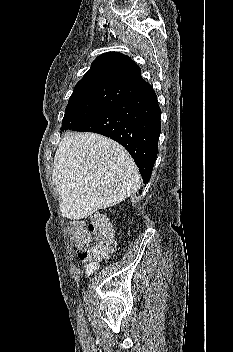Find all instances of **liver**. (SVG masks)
Masks as SVG:
<instances>
[{
  "mask_svg": "<svg viewBox=\"0 0 233 352\" xmlns=\"http://www.w3.org/2000/svg\"><path fill=\"white\" fill-rule=\"evenodd\" d=\"M52 179L69 219H83L124 201L140 188L132 157L117 142L95 133H67L54 158Z\"/></svg>",
  "mask_w": 233,
  "mask_h": 352,
  "instance_id": "obj_1",
  "label": "liver"
}]
</instances>
